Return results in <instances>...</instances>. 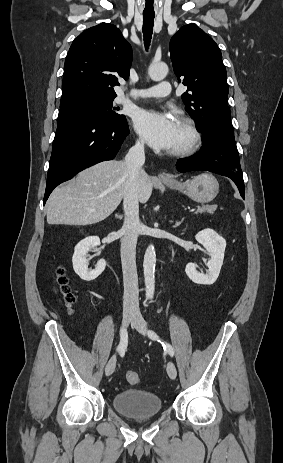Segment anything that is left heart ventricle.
Returning a JSON list of instances; mask_svg holds the SVG:
<instances>
[{"mask_svg":"<svg viewBox=\"0 0 283 463\" xmlns=\"http://www.w3.org/2000/svg\"><path fill=\"white\" fill-rule=\"evenodd\" d=\"M188 140H189V135L186 132V130L179 123H176L175 140H174V144L171 150L182 147L188 142Z\"/></svg>","mask_w":283,"mask_h":463,"instance_id":"b2bd125f","label":"left heart ventricle"}]
</instances>
